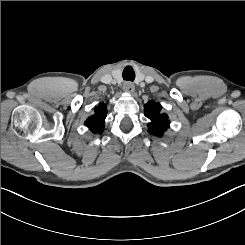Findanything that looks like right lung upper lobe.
Segmentation results:
<instances>
[{"label":"right lung upper lobe","mask_w":245,"mask_h":245,"mask_svg":"<svg viewBox=\"0 0 245 245\" xmlns=\"http://www.w3.org/2000/svg\"><path fill=\"white\" fill-rule=\"evenodd\" d=\"M107 116L106 105L104 103H100L97 107H95V114L89 117L85 124L93 133H102V129L104 128V120Z\"/></svg>","instance_id":"right-lung-upper-lobe-1"}]
</instances>
